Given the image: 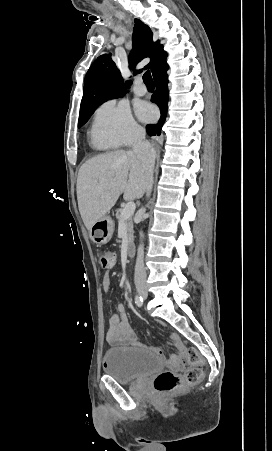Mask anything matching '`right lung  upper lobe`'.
Returning a JSON list of instances; mask_svg holds the SVG:
<instances>
[{
	"label": "right lung upper lobe",
	"instance_id": "obj_1",
	"mask_svg": "<svg viewBox=\"0 0 272 451\" xmlns=\"http://www.w3.org/2000/svg\"><path fill=\"white\" fill-rule=\"evenodd\" d=\"M153 33L150 28L135 19L133 29V50L129 59L130 68L145 57H150L151 61L146 68L151 69L152 74L156 68L165 62L166 52L159 41L153 42ZM139 71H134L137 74ZM131 84V81L128 82ZM122 77L110 54L99 56L89 68L84 82V92L81 101L80 111L96 108L103 102L122 97L125 94Z\"/></svg>",
	"mask_w": 272,
	"mask_h": 451
}]
</instances>
